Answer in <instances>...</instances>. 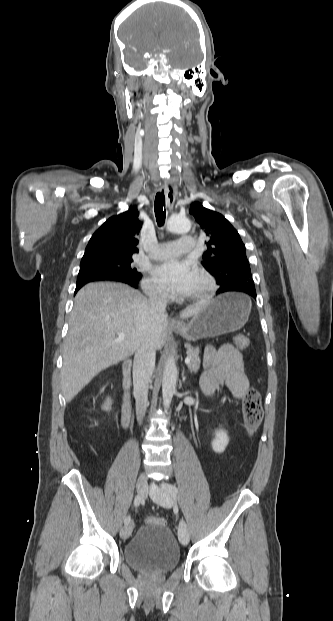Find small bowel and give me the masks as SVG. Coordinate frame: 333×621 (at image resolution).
<instances>
[{"instance_id":"small-bowel-1","label":"small bowel","mask_w":333,"mask_h":621,"mask_svg":"<svg viewBox=\"0 0 333 621\" xmlns=\"http://www.w3.org/2000/svg\"><path fill=\"white\" fill-rule=\"evenodd\" d=\"M203 366L205 371L200 378V388L205 395L226 384L235 398L244 397L249 388V380L238 350L230 345L219 349L210 347L205 352ZM102 409L113 418L110 398H105Z\"/></svg>"}]
</instances>
